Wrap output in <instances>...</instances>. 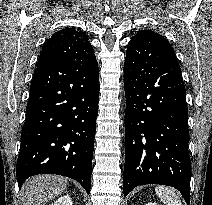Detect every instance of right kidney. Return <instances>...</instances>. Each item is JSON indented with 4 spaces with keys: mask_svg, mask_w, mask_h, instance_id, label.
I'll return each instance as SVG.
<instances>
[{
    "mask_svg": "<svg viewBox=\"0 0 212 205\" xmlns=\"http://www.w3.org/2000/svg\"><path fill=\"white\" fill-rule=\"evenodd\" d=\"M51 205H72V201L70 196L65 195V196H61L60 198H58L54 204Z\"/></svg>",
    "mask_w": 212,
    "mask_h": 205,
    "instance_id": "right-kidney-1",
    "label": "right kidney"
}]
</instances>
